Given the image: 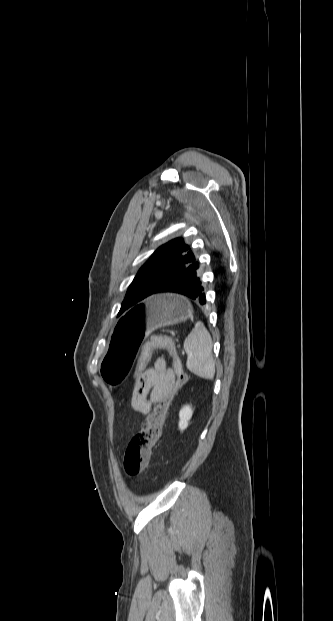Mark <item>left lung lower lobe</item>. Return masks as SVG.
<instances>
[{
	"label": "left lung lower lobe",
	"mask_w": 333,
	"mask_h": 621,
	"mask_svg": "<svg viewBox=\"0 0 333 621\" xmlns=\"http://www.w3.org/2000/svg\"><path fill=\"white\" fill-rule=\"evenodd\" d=\"M198 268L184 271L177 277L165 283L157 293H179L185 295L200 304H206L204 288L197 273Z\"/></svg>",
	"instance_id": "left-lung-lower-lobe-1"
}]
</instances>
